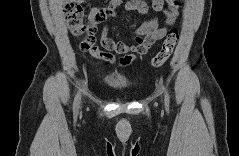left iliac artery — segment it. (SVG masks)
Listing matches in <instances>:
<instances>
[{"label":"left iliac artery","instance_id":"44dca946","mask_svg":"<svg viewBox=\"0 0 239 156\" xmlns=\"http://www.w3.org/2000/svg\"><path fill=\"white\" fill-rule=\"evenodd\" d=\"M169 100H170L169 93L165 89V102H166V104H169Z\"/></svg>","mask_w":239,"mask_h":156}]
</instances>
